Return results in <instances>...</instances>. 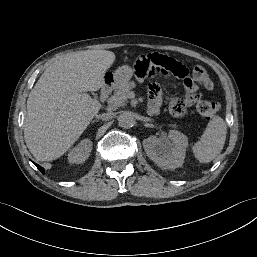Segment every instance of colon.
<instances>
[{
	"mask_svg": "<svg viewBox=\"0 0 257 257\" xmlns=\"http://www.w3.org/2000/svg\"><path fill=\"white\" fill-rule=\"evenodd\" d=\"M193 70L196 72V75H197L196 80L194 81L195 86L196 84H198L203 88L211 89L213 86V83L206 69L202 66H195ZM196 109L201 117L205 119H211L217 113L219 106L217 103L213 101L202 100L198 102Z\"/></svg>",
	"mask_w": 257,
	"mask_h": 257,
	"instance_id": "colon-1",
	"label": "colon"
}]
</instances>
